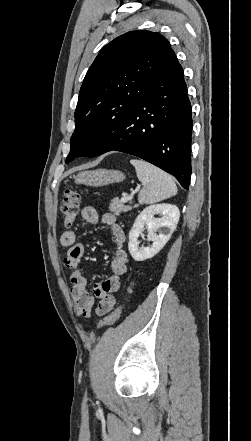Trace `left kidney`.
Listing matches in <instances>:
<instances>
[{"mask_svg":"<svg viewBox=\"0 0 251 441\" xmlns=\"http://www.w3.org/2000/svg\"><path fill=\"white\" fill-rule=\"evenodd\" d=\"M156 214L162 215L155 218ZM180 217L177 206L172 204H156L146 207L136 218L129 233L128 249L135 261H144L155 256L169 241L176 229ZM144 226L148 229L150 246L139 247L138 237L143 233ZM159 234L156 231L160 229Z\"/></svg>","mask_w":251,"mask_h":441,"instance_id":"obj_1","label":"left kidney"}]
</instances>
